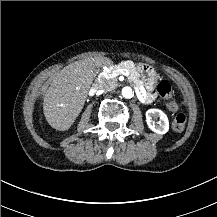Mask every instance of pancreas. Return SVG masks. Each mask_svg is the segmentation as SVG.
<instances>
[{
    "label": "pancreas",
    "instance_id": "obj_1",
    "mask_svg": "<svg viewBox=\"0 0 217 217\" xmlns=\"http://www.w3.org/2000/svg\"><path fill=\"white\" fill-rule=\"evenodd\" d=\"M119 67L126 68L129 71V73H130V75H129L130 81L135 82V84L137 86H139L142 83V81L140 79V74L138 73L135 66H133L132 62L125 61V62H121L119 64H116L115 67H112V68L109 69V72H112V75H115L116 72H118Z\"/></svg>",
    "mask_w": 217,
    "mask_h": 217
}]
</instances>
